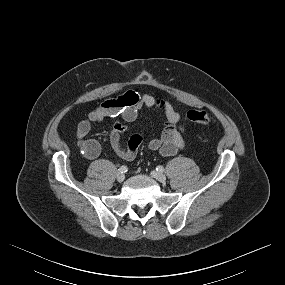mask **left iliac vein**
<instances>
[{"label":"left iliac vein","instance_id":"obj_1","mask_svg":"<svg viewBox=\"0 0 285 285\" xmlns=\"http://www.w3.org/2000/svg\"><path fill=\"white\" fill-rule=\"evenodd\" d=\"M151 176L158 180L159 182H165L166 181V176L163 173L157 172V171H152Z\"/></svg>","mask_w":285,"mask_h":285}]
</instances>
